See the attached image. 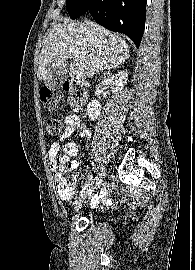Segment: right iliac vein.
<instances>
[{
    "mask_svg": "<svg viewBox=\"0 0 195 270\" xmlns=\"http://www.w3.org/2000/svg\"><path fill=\"white\" fill-rule=\"evenodd\" d=\"M105 175L104 170H102L96 179L91 183L89 189L81 195V197L75 202V210L77 211L84 203H86L89 198L93 195V193L99 188V186L103 182V177Z\"/></svg>",
    "mask_w": 195,
    "mask_h": 270,
    "instance_id": "right-iliac-vein-1",
    "label": "right iliac vein"
}]
</instances>
